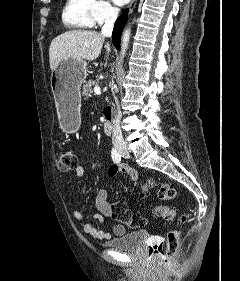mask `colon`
Returning a JSON list of instances; mask_svg holds the SVG:
<instances>
[{
  "instance_id": "obj_1",
  "label": "colon",
  "mask_w": 240,
  "mask_h": 281,
  "mask_svg": "<svg viewBox=\"0 0 240 281\" xmlns=\"http://www.w3.org/2000/svg\"><path fill=\"white\" fill-rule=\"evenodd\" d=\"M57 169L61 172H69L77 167V157L70 149L60 150L57 162ZM151 189H156L157 196L161 200H172L177 196V191L167 183H156L153 180L147 181L142 187L140 193L141 198H145ZM152 213L165 220H172L175 217V210L157 205L152 208ZM187 214L180 217V222L183 224L187 221ZM111 219L124 222L131 227H143L146 224V219L139 214H131L123 202L111 204ZM181 242V232L178 229L171 230L164 241L157 243L150 250V254L154 257V262L159 267H167L172 258L178 252Z\"/></svg>"
}]
</instances>
